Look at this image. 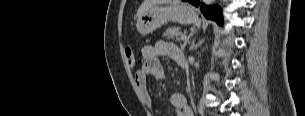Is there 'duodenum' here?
<instances>
[{
    "label": "duodenum",
    "instance_id": "obj_1",
    "mask_svg": "<svg viewBox=\"0 0 305 116\" xmlns=\"http://www.w3.org/2000/svg\"><path fill=\"white\" fill-rule=\"evenodd\" d=\"M177 63L181 66L184 67L185 66V59L184 57H180L177 59Z\"/></svg>",
    "mask_w": 305,
    "mask_h": 116
}]
</instances>
